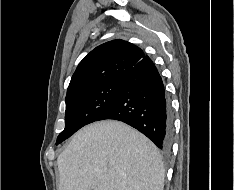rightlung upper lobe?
<instances>
[{
    "label": "right lung upper lobe",
    "instance_id": "1",
    "mask_svg": "<svg viewBox=\"0 0 234 190\" xmlns=\"http://www.w3.org/2000/svg\"><path fill=\"white\" fill-rule=\"evenodd\" d=\"M144 57L139 47L120 39L96 47L79 63L68 86L66 98L76 92L123 79Z\"/></svg>",
    "mask_w": 234,
    "mask_h": 190
}]
</instances>
